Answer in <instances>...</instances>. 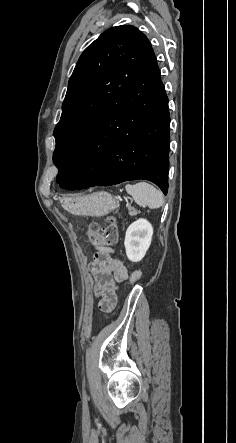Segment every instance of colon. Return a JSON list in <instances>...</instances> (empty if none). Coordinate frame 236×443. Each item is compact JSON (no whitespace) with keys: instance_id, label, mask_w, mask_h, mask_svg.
Listing matches in <instances>:
<instances>
[{"instance_id":"obj_1","label":"colon","mask_w":236,"mask_h":443,"mask_svg":"<svg viewBox=\"0 0 236 443\" xmlns=\"http://www.w3.org/2000/svg\"><path fill=\"white\" fill-rule=\"evenodd\" d=\"M118 235L117 221L114 217H108L107 225L101 228L96 222H92L87 230V237L92 246L112 245L116 243ZM141 272L135 271L130 281L133 283L141 278Z\"/></svg>"}]
</instances>
